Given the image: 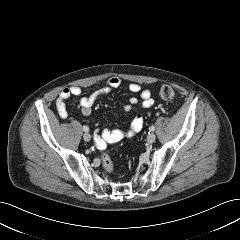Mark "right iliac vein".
Segmentation results:
<instances>
[{"mask_svg": "<svg viewBox=\"0 0 240 240\" xmlns=\"http://www.w3.org/2000/svg\"><path fill=\"white\" fill-rule=\"evenodd\" d=\"M83 139H84L86 142H89V141L91 140V135H90L88 132H86V133H84V135H83Z\"/></svg>", "mask_w": 240, "mask_h": 240, "instance_id": "right-iliac-vein-1", "label": "right iliac vein"}]
</instances>
